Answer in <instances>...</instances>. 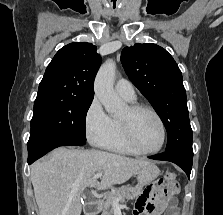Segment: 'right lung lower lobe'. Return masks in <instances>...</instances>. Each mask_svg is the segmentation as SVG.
<instances>
[{"label": "right lung lower lobe", "instance_id": "obj_1", "mask_svg": "<svg viewBox=\"0 0 223 215\" xmlns=\"http://www.w3.org/2000/svg\"><path fill=\"white\" fill-rule=\"evenodd\" d=\"M85 141L81 140H63L51 142L43 145H39L28 149V164H32L34 161L44 156L49 151L60 147V146H80L84 145Z\"/></svg>", "mask_w": 223, "mask_h": 215}]
</instances>
